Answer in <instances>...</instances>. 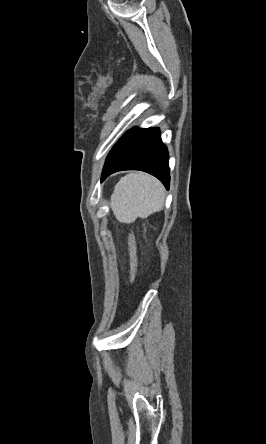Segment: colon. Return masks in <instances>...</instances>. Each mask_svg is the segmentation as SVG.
<instances>
[{
  "label": "colon",
  "instance_id": "5ec220e1",
  "mask_svg": "<svg viewBox=\"0 0 266 444\" xmlns=\"http://www.w3.org/2000/svg\"><path fill=\"white\" fill-rule=\"evenodd\" d=\"M128 246H129V256H130V282L133 283L137 275V250H136V240L132 231L128 234Z\"/></svg>",
  "mask_w": 266,
  "mask_h": 444
}]
</instances>
